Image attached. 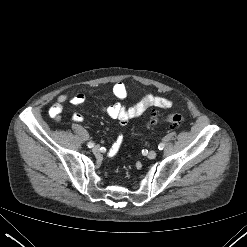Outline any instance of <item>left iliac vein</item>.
Returning a JSON list of instances; mask_svg holds the SVG:
<instances>
[{
	"instance_id": "1",
	"label": "left iliac vein",
	"mask_w": 247,
	"mask_h": 247,
	"mask_svg": "<svg viewBox=\"0 0 247 247\" xmlns=\"http://www.w3.org/2000/svg\"><path fill=\"white\" fill-rule=\"evenodd\" d=\"M156 155H157L156 151L152 150L148 153L147 156L149 159H154L156 157Z\"/></svg>"
}]
</instances>
